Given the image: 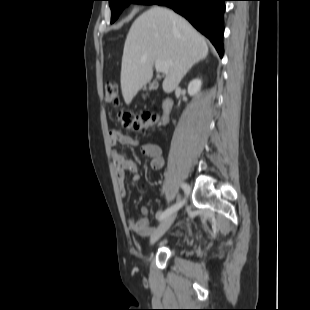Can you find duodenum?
I'll list each match as a JSON object with an SVG mask.
<instances>
[{"mask_svg":"<svg viewBox=\"0 0 310 310\" xmlns=\"http://www.w3.org/2000/svg\"><path fill=\"white\" fill-rule=\"evenodd\" d=\"M172 109V101L170 99H165L162 103V122L166 123L168 121L169 113Z\"/></svg>","mask_w":310,"mask_h":310,"instance_id":"obj_1","label":"duodenum"}]
</instances>
